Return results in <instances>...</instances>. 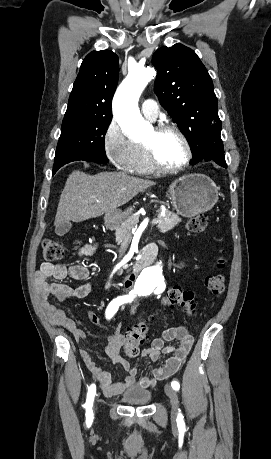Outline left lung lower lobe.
I'll return each mask as SVG.
<instances>
[{"mask_svg": "<svg viewBox=\"0 0 271 459\" xmlns=\"http://www.w3.org/2000/svg\"><path fill=\"white\" fill-rule=\"evenodd\" d=\"M212 140L214 142V148L206 156H204L201 161H211L212 160L216 162L218 165L224 168H227V164L225 162L223 142L221 140L220 134L215 135Z\"/></svg>", "mask_w": 271, "mask_h": 459, "instance_id": "obj_1", "label": "left lung lower lobe"}]
</instances>
